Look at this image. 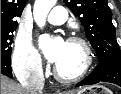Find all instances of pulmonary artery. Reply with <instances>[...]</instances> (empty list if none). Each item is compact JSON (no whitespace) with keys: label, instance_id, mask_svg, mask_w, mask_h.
Returning <instances> with one entry per match:
<instances>
[{"label":"pulmonary artery","instance_id":"e3ab8cb5","mask_svg":"<svg viewBox=\"0 0 121 94\" xmlns=\"http://www.w3.org/2000/svg\"><path fill=\"white\" fill-rule=\"evenodd\" d=\"M68 16L67 9L62 6H56L52 9L51 13L47 17V21L54 25L63 24Z\"/></svg>","mask_w":121,"mask_h":94}]
</instances>
